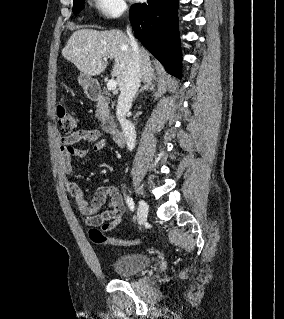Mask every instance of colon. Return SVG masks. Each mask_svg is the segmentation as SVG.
I'll return each mask as SVG.
<instances>
[{"mask_svg": "<svg viewBox=\"0 0 284 319\" xmlns=\"http://www.w3.org/2000/svg\"><path fill=\"white\" fill-rule=\"evenodd\" d=\"M57 122L63 133H71L76 125L77 120L69 106L66 104H59L57 106ZM89 237L92 242L96 244H108L112 246H130L136 243H139V240H126L116 237H108L99 229L91 228L89 230Z\"/></svg>", "mask_w": 284, "mask_h": 319, "instance_id": "5ec220e1", "label": "colon"}]
</instances>
